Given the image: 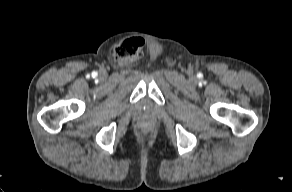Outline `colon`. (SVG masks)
<instances>
[{"label": "colon", "instance_id": "5ec220e1", "mask_svg": "<svg viewBox=\"0 0 292 192\" xmlns=\"http://www.w3.org/2000/svg\"><path fill=\"white\" fill-rule=\"evenodd\" d=\"M142 46V41L140 39H133L121 44L117 50L116 54L118 56L133 55L136 54Z\"/></svg>", "mask_w": 292, "mask_h": 192}]
</instances>
